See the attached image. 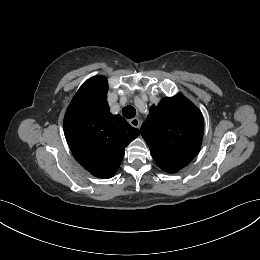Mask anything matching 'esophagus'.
<instances>
[{
  "mask_svg": "<svg viewBox=\"0 0 260 260\" xmlns=\"http://www.w3.org/2000/svg\"><path fill=\"white\" fill-rule=\"evenodd\" d=\"M129 123L131 126L135 127V128H140L141 122L138 118H133L129 120Z\"/></svg>",
  "mask_w": 260,
  "mask_h": 260,
  "instance_id": "esophagus-1",
  "label": "esophagus"
}]
</instances>
